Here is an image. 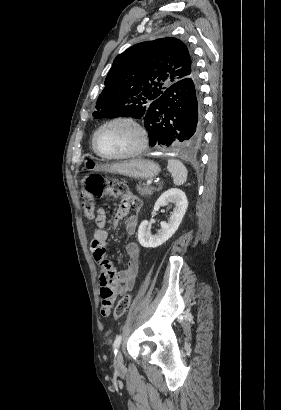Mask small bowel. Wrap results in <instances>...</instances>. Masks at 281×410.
<instances>
[{"label": "small bowel", "instance_id": "small-bowel-1", "mask_svg": "<svg viewBox=\"0 0 281 410\" xmlns=\"http://www.w3.org/2000/svg\"><path fill=\"white\" fill-rule=\"evenodd\" d=\"M140 208L141 202L139 198L129 193L124 195L113 217V225H117L118 222L124 219L131 210L134 211V214L127 217L125 220V231L130 238L126 245L128 262L119 272L114 269L111 261L106 256V244L109 235V232L106 229V211L103 208H99L97 211L95 217L97 229L95 230L91 241V251L94 260L101 268L99 283L101 286L102 310L103 304L107 300L110 301L108 312L103 313L101 310L103 316L109 315L112 303L117 297L128 293L134 287L139 266V248L131 238L138 225L137 213Z\"/></svg>", "mask_w": 281, "mask_h": 410}]
</instances>
